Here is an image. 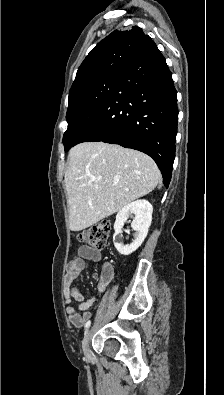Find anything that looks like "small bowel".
Masks as SVG:
<instances>
[{
	"mask_svg": "<svg viewBox=\"0 0 224 395\" xmlns=\"http://www.w3.org/2000/svg\"><path fill=\"white\" fill-rule=\"evenodd\" d=\"M86 260L99 262L101 260V252L98 249L90 246H81L78 250V255L71 259L66 265L65 275V296H66V311L70 322L75 327H81L86 321L91 318L90 308L97 301V295L90 299H85L81 290L77 287H72V282L79 276L80 272L86 268ZM113 278V269L107 267L106 276L100 278L97 284V291L101 293ZM73 301L79 303L78 310L73 305Z\"/></svg>",
	"mask_w": 224,
	"mask_h": 395,
	"instance_id": "small-bowel-1",
	"label": "small bowel"
}]
</instances>
